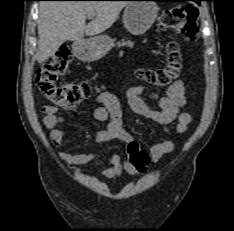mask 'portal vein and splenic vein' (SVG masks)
<instances>
[{
	"label": "portal vein and splenic vein",
	"mask_w": 234,
	"mask_h": 231,
	"mask_svg": "<svg viewBox=\"0 0 234 231\" xmlns=\"http://www.w3.org/2000/svg\"><path fill=\"white\" fill-rule=\"evenodd\" d=\"M94 17V15H89L88 18L89 19H92Z\"/></svg>",
	"instance_id": "1"
}]
</instances>
